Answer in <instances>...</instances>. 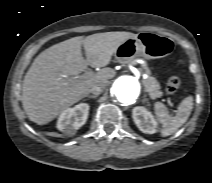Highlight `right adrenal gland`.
Segmentation results:
<instances>
[{
  "label": "right adrenal gland",
  "mask_w": 212,
  "mask_h": 183,
  "mask_svg": "<svg viewBox=\"0 0 212 183\" xmlns=\"http://www.w3.org/2000/svg\"><path fill=\"white\" fill-rule=\"evenodd\" d=\"M87 98H97L96 95H87Z\"/></svg>",
  "instance_id": "2a0ac1e0"
}]
</instances>
